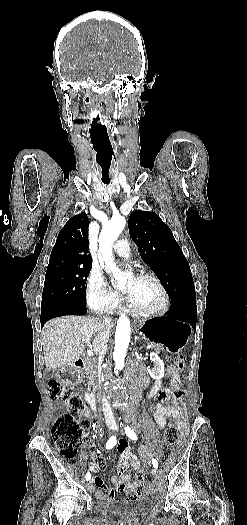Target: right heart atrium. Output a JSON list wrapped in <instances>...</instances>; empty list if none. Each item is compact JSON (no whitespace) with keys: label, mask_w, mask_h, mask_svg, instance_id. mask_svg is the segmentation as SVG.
Listing matches in <instances>:
<instances>
[{"label":"right heart atrium","mask_w":247,"mask_h":525,"mask_svg":"<svg viewBox=\"0 0 247 525\" xmlns=\"http://www.w3.org/2000/svg\"><path fill=\"white\" fill-rule=\"evenodd\" d=\"M86 300L89 308L97 314L110 312L114 306L111 292L99 271H93L88 278Z\"/></svg>","instance_id":"obj_1"}]
</instances>
